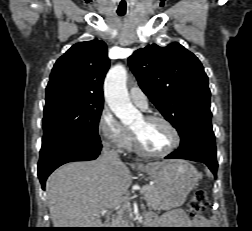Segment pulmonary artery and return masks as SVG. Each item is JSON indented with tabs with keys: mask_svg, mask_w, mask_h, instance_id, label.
<instances>
[{
	"mask_svg": "<svg viewBox=\"0 0 252 231\" xmlns=\"http://www.w3.org/2000/svg\"><path fill=\"white\" fill-rule=\"evenodd\" d=\"M129 95L132 102L139 108L145 110L148 107V100L144 92L137 86H132L129 89Z\"/></svg>",
	"mask_w": 252,
	"mask_h": 231,
	"instance_id": "obj_1",
	"label": "pulmonary artery"
}]
</instances>
